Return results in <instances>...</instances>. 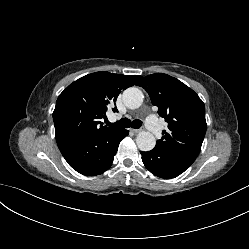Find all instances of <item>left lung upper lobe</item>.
<instances>
[{
    "label": "left lung upper lobe",
    "mask_w": 249,
    "mask_h": 249,
    "mask_svg": "<svg viewBox=\"0 0 249 249\" xmlns=\"http://www.w3.org/2000/svg\"><path fill=\"white\" fill-rule=\"evenodd\" d=\"M143 87L168 123V130L155 148L198 156L206 133L205 106L199 96L184 83L167 74L156 73L141 79Z\"/></svg>",
    "instance_id": "1"
}]
</instances>
